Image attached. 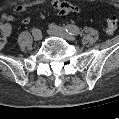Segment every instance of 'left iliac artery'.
<instances>
[{
	"mask_svg": "<svg viewBox=\"0 0 119 119\" xmlns=\"http://www.w3.org/2000/svg\"><path fill=\"white\" fill-rule=\"evenodd\" d=\"M52 28L60 29L55 25H51ZM66 32H68L71 35H79L80 29L76 25H67L65 27Z\"/></svg>",
	"mask_w": 119,
	"mask_h": 119,
	"instance_id": "obj_1",
	"label": "left iliac artery"
}]
</instances>
